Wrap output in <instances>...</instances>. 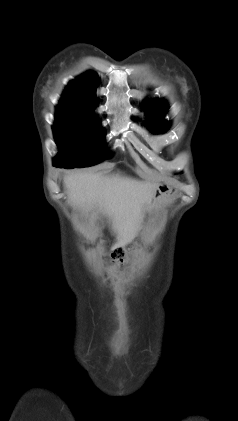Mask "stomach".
<instances>
[{"label":"stomach","instance_id":"obj_1","mask_svg":"<svg viewBox=\"0 0 238 421\" xmlns=\"http://www.w3.org/2000/svg\"><path fill=\"white\" fill-rule=\"evenodd\" d=\"M170 191V188L168 186H158L157 189L155 190L151 202H150V206H152L156 201H158L162 195H164L165 193H168Z\"/></svg>","mask_w":238,"mask_h":421}]
</instances>
